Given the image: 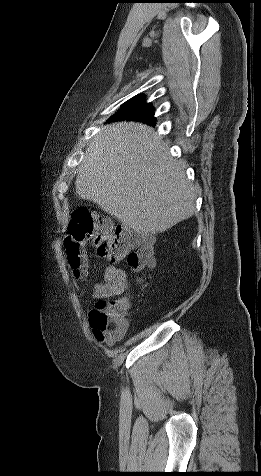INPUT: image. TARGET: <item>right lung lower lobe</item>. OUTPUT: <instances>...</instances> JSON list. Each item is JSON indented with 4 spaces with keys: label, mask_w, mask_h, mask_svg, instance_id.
Returning a JSON list of instances; mask_svg holds the SVG:
<instances>
[{
    "label": "right lung lower lobe",
    "mask_w": 261,
    "mask_h": 476,
    "mask_svg": "<svg viewBox=\"0 0 261 476\" xmlns=\"http://www.w3.org/2000/svg\"><path fill=\"white\" fill-rule=\"evenodd\" d=\"M125 119H128V118H125ZM112 120H122V119H114V118H112ZM130 120H132V119H130ZM143 122H144V121H143ZM148 123H149V122H148ZM149 124H151V123H149Z\"/></svg>",
    "instance_id": "obj_1"
}]
</instances>
